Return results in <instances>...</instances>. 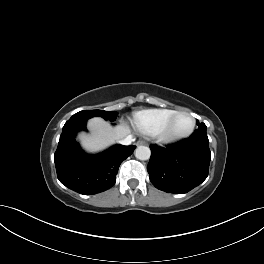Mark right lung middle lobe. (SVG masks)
<instances>
[{"instance_id": "dd1d6c3e", "label": "right lung middle lobe", "mask_w": 264, "mask_h": 264, "mask_svg": "<svg viewBox=\"0 0 264 264\" xmlns=\"http://www.w3.org/2000/svg\"><path fill=\"white\" fill-rule=\"evenodd\" d=\"M117 112L114 111H104V110H83L72 117H82V118H91L94 116H100L106 120H110L111 122L114 121L117 117Z\"/></svg>"}]
</instances>
